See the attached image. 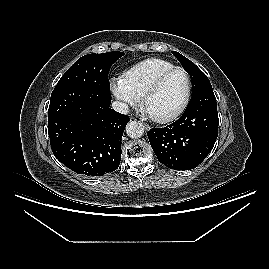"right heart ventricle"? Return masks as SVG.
<instances>
[{
	"label": "right heart ventricle",
	"instance_id": "right-heart-ventricle-1",
	"mask_svg": "<svg viewBox=\"0 0 269 269\" xmlns=\"http://www.w3.org/2000/svg\"><path fill=\"white\" fill-rule=\"evenodd\" d=\"M173 67L175 65L168 60L149 58L126 70L123 78L128 87L140 97L161 73Z\"/></svg>",
	"mask_w": 269,
	"mask_h": 269
}]
</instances>
